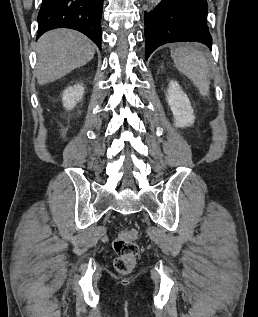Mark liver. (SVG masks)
<instances>
[{"label": "liver", "mask_w": 258, "mask_h": 317, "mask_svg": "<svg viewBox=\"0 0 258 317\" xmlns=\"http://www.w3.org/2000/svg\"><path fill=\"white\" fill-rule=\"evenodd\" d=\"M36 50L37 82L46 84L89 62L95 54V44L77 30L56 28L38 38Z\"/></svg>", "instance_id": "6515ba94"}]
</instances>
